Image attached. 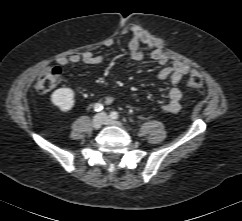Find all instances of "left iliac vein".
Returning a JSON list of instances; mask_svg holds the SVG:
<instances>
[{
    "mask_svg": "<svg viewBox=\"0 0 242 221\" xmlns=\"http://www.w3.org/2000/svg\"><path fill=\"white\" fill-rule=\"evenodd\" d=\"M100 115L103 117L105 125H115L118 127H122V124L120 122L110 119L105 113H101Z\"/></svg>",
    "mask_w": 242,
    "mask_h": 221,
    "instance_id": "1",
    "label": "left iliac vein"
}]
</instances>
